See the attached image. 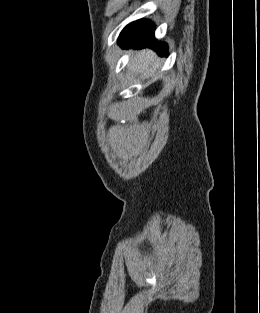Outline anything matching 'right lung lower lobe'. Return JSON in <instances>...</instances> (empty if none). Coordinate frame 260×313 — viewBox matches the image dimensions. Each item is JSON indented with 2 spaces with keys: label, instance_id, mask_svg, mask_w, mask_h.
<instances>
[{
  "label": "right lung lower lobe",
  "instance_id": "98d812e1",
  "mask_svg": "<svg viewBox=\"0 0 260 313\" xmlns=\"http://www.w3.org/2000/svg\"><path fill=\"white\" fill-rule=\"evenodd\" d=\"M155 25L147 20H138L127 25L119 36V44L122 47H151L159 55L167 54L168 47L164 42H158L154 38Z\"/></svg>",
  "mask_w": 260,
  "mask_h": 313
}]
</instances>
